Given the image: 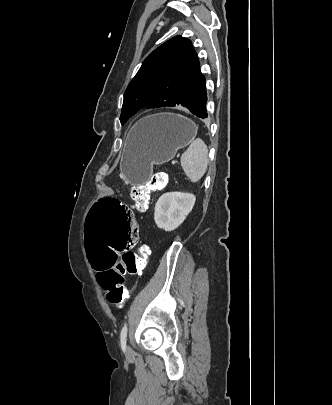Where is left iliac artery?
<instances>
[{
	"mask_svg": "<svg viewBox=\"0 0 332 405\" xmlns=\"http://www.w3.org/2000/svg\"><path fill=\"white\" fill-rule=\"evenodd\" d=\"M126 337H127V325H124L120 333L121 345L123 348L126 345Z\"/></svg>",
	"mask_w": 332,
	"mask_h": 405,
	"instance_id": "1",
	"label": "left iliac artery"
}]
</instances>
